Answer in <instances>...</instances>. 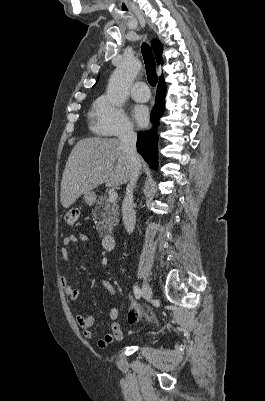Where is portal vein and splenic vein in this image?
I'll list each match as a JSON object with an SVG mask.
<instances>
[{"label":"portal vein and splenic vein","instance_id":"obj_1","mask_svg":"<svg viewBox=\"0 0 265 401\" xmlns=\"http://www.w3.org/2000/svg\"><path fill=\"white\" fill-rule=\"evenodd\" d=\"M117 196H118L117 192H111L109 196L110 201H116Z\"/></svg>","mask_w":265,"mask_h":401}]
</instances>
